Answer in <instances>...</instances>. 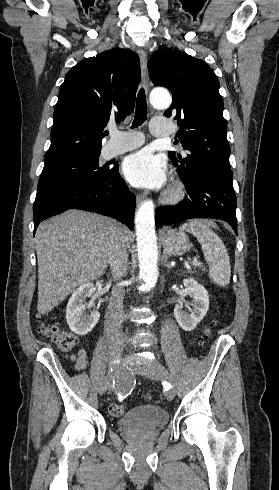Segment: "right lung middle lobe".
I'll list each match as a JSON object with an SVG mask.
<instances>
[{"label":"right lung middle lobe","mask_w":279,"mask_h":490,"mask_svg":"<svg viewBox=\"0 0 279 490\" xmlns=\"http://www.w3.org/2000/svg\"><path fill=\"white\" fill-rule=\"evenodd\" d=\"M117 166L99 165V154L85 155L45 163L38 189L47 185H62L107 178Z\"/></svg>","instance_id":"1"}]
</instances>
